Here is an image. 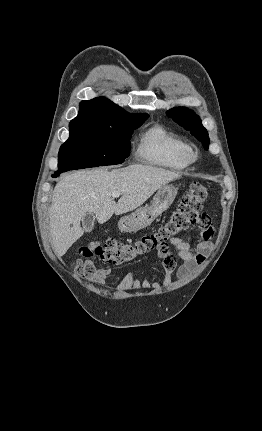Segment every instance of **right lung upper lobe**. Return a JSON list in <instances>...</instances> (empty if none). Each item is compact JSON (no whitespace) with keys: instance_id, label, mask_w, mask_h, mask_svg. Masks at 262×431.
<instances>
[{"instance_id":"cb5924a9","label":"right lung upper lobe","mask_w":262,"mask_h":431,"mask_svg":"<svg viewBox=\"0 0 262 431\" xmlns=\"http://www.w3.org/2000/svg\"><path fill=\"white\" fill-rule=\"evenodd\" d=\"M147 114H129L110 100L99 97L80 103L78 116L70 124L106 123L113 120L146 116Z\"/></svg>"}]
</instances>
